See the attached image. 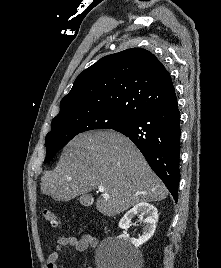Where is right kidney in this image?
I'll list each match as a JSON object with an SVG mask.
<instances>
[{"mask_svg": "<svg viewBox=\"0 0 221 268\" xmlns=\"http://www.w3.org/2000/svg\"><path fill=\"white\" fill-rule=\"evenodd\" d=\"M136 215H139L140 220L144 223L142 236L139 237V239H134L129 237L127 233L124 232V234L119 236V239L128 244H132L135 247H139L153 236L156 229V223L158 221V210L149 203H139L123 216L119 222V227L123 230H127L130 226L131 220Z\"/></svg>", "mask_w": 221, "mask_h": 268, "instance_id": "obj_1", "label": "right kidney"}]
</instances>
